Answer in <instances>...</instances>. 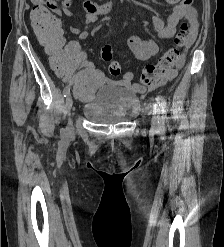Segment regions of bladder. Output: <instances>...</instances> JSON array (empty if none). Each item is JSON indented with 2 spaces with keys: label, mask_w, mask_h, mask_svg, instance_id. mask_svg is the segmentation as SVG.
<instances>
[{
  "label": "bladder",
  "mask_w": 224,
  "mask_h": 247,
  "mask_svg": "<svg viewBox=\"0 0 224 247\" xmlns=\"http://www.w3.org/2000/svg\"><path fill=\"white\" fill-rule=\"evenodd\" d=\"M137 98L118 85H104L82 106L83 116L97 125H116L134 117Z\"/></svg>",
  "instance_id": "bladder-1"
}]
</instances>
